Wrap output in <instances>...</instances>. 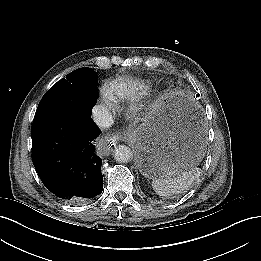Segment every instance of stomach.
I'll list each match as a JSON object with an SVG mask.
<instances>
[{
    "mask_svg": "<svg viewBox=\"0 0 261 261\" xmlns=\"http://www.w3.org/2000/svg\"><path fill=\"white\" fill-rule=\"evenodd\" d=\"M186 96L167 93L151 107L147 119L130 131L140 172L151 179L168 170L182 171L202 157L201 141L186 130Z\"/></svg>",
    "mask_w": 261,
    "mask_h": 261,
    "instance_id": "0dacf381",
    "label": "stomach"
}]
</instances>
